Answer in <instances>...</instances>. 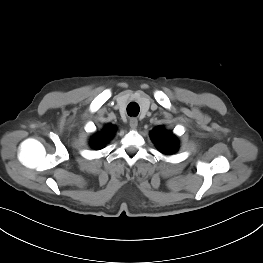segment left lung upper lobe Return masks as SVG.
Here are the masks:
<instances>
[{
  "instance_id": "left-lung-upper-lobe-1",
  "label": "left lung upper lobe",
  "mask_w": 263,
  "mask_h": 263,
  "mask_svg": "<svg viewBox=\"0 0 263 263\" xmlns=\"http://www.w3.org/2000/svg\"><path fill=\"white\" fill-rule=\"evenodd\" d=\"M151 139L160 152L171 155L178 150L179 142L176 136L163 127H155L150 133Z\"/></svg>"
}]
</instances>
